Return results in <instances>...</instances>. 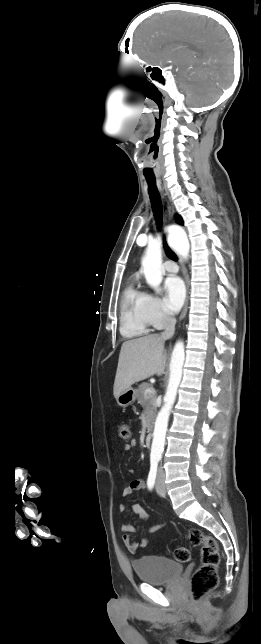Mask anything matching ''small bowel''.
<instances>
[{"label":"small bowel","mask_w":261,"mask_h":644,"mask_svg":"<svg viewBox=\"0 0 261 644\" xmlns=\"http://www.w3.org/2000/svg\"><path fill=\"white\" fill-rule=\"evenodd\" d=\"M136 441H131L130 443L126 444L124 446V451H130L133 447H135ZM146 487V483L142 479H136L132 480L122 491V495L124 497H128L135 493L136 491L142 490ZM121 512H124L126 510L125 505H120L119 507ZM132 511L135 515L138 516L139 519L145 520L148 517V513L145 510V508L140 505V504H134L132 506ZM163 524H153L148 527V532L150 533H155L163 528ZM121 530L124 533L123 534V542L128 548V550L132 553H135L138 551L139 548H145L150 544L149 539L147 538H142L140 541L134 540L132 537V533L135 532V527L130 524V523H124L121 526Z\"/></svg>","instance_id":"1"}]
</instances>
